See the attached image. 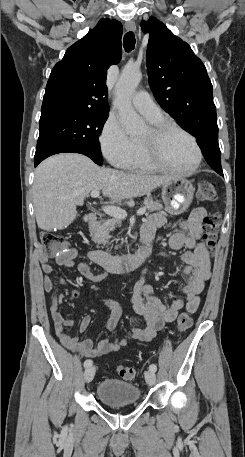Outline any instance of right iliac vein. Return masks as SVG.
Wrapping results in <instances>:
<instances>
[{"label":"right iliac vein","instance_id":"63e3f726","mask_svg":"<svg viewBox=\"0 0 245 457\" xmlns=\"http://www.w3.org/2000/svg\"><path fill=\"white\" fill-rule=\"evenodd\" d=\"M95 371H96L95 366H90L85 370L84 378L87 383H90L92 381V379L94 378V375H95Z\"/></svg>","mask_w":245,"mask_h":457}]
</instances>
